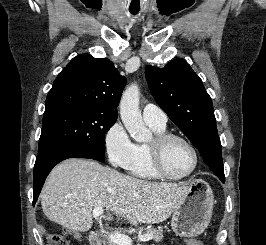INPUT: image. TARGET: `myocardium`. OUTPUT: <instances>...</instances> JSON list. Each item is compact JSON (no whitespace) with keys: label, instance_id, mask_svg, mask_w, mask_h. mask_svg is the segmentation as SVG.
I'll list each match as a JSON object with an SVG mask.
<instances>
[{"label":"myocardium","instance_id":"obj_1","mask_svg":"<svg viewBox=\"0 0 266 245\" xmlns=\"http://www.w3.org/2000/svg\"><path fill=\"white\" fill-rule=\"evenodd\" d=\"M173 139H177V140H180L186 143L190 147L194 155V164H193L191 171L182 177L171 176L165 170L164 165H163V150L166 144ZM147 146H148V154H149L150 163L155 173L162 179L175 181V182L184 181V180L191 178L198 169L199 162H200L199 152L197 148L195 147V145L187 137L183 135L171 133V132L157 133L154 136L153 140L147 144Z\"/></svg>","mask_w":266,"mask_h":245}]
</instances>
